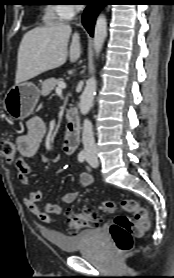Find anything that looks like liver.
<instances>
[{
    "instance_id": "1",
    "label": "liver",
    "mask_w": 174,
    "mask_h": 278,
    "mask_svg": "<svg viewBox=\"0 0 174 278\" xmlns=\"http://www.w3.org/2000/svg\"><path fill=\"white\" fill-rule=\"evenodd\" d=\"M72 29L68 24L36 27L24 34L17 56L15 84L30 80L41 73L60 67L69 54L73 63L81 55L80 36L72 37L68 53V41Z\"/></svg>"
}]
</instances>
